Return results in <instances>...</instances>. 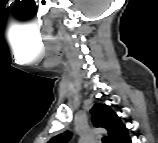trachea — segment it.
<instances>
[{"mask_svg":"<svg viewBox=\"0 0 158 143\" xmlns=\"http://www.w3.org/2000/svg\"><path fill=\"white\" fill-rule=\"evenodd\" d=\"M102 141H103V143H108V138L107 137H103Z\"/></svg>","mask_w":158,"mask_h":143,"instance_id":"trachea-1","label":"trachea"}]
</instances>
